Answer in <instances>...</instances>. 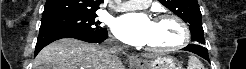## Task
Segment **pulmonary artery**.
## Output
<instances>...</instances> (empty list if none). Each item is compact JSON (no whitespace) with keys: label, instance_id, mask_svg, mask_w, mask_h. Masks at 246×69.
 Returning a JSON list of instances; mask_svg holds the SVG:
<instances>
[{"label":"pulmonary artery","instance_id":"1","mask_svg":"<svg viewBox=\"0 0 246 69\" xmlns=\"http://www.w3.org/2000/svg\"><path fill=\"white\" fill-rule=\"evenodd\" d=\"M151 1L149 0H130L123 2L118 11H127V10H134V9H141L146 7Z\"/></svg>","mask_w":246,"mask_h":69}]
</instances>
